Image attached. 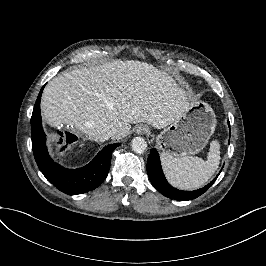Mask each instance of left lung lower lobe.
Listing matches in <instances>:
<instances>
[{
  "label": "left lung lower lobe",
  "instance_id": "left-lung-lower-lobe-1",
  "mask_svg": "<svg viewBox=\"0 0 266 266\" xmlns=\"http://www.w3.org/2000/svg\"><path fill=\"white\" fill-rule=\"evenodd\" d=\"M229 126L230 123L228 122ZM221 172V171H220ZM219 172V173H220ZM147 173L149 176V179L152 183V185L164 196L175 199V200H192L200 195H202L204 192L208 190V188L215 182L218 175L215 179H213L212 182H210L207 186L204 188L194 190V191H182L178 190L176 188H173L165 179V176L163 174L161 164H160V158L157 150L151 149L150 155L147 160Z\"/></svg>",
  "mask_w": 266,
  "mask_h": 266
}]
</instances>
